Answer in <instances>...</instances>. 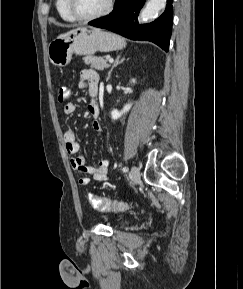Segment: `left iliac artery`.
Masks as SVG:
<instances>
[{
	"label": "left iliac artery",
	"instance_id": "1",
	"mask_svg": "<svg viewBox=\"0 0 243 289\" xmlns=\"http://www.w3.org/2000/svg\"><path fill=\"white\" fill-rule=\"evenodd\" d=\"M128 170H129V168L126 166L123 168V172H128Z\"/></svg>",
	"mask_w": 243,
	"mask_h": 289
}]
</instances>
